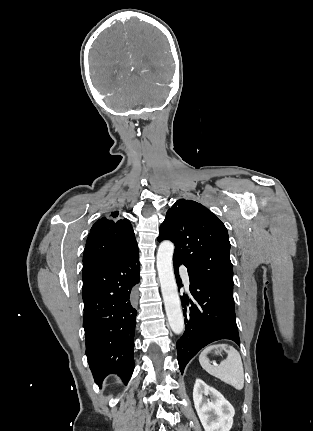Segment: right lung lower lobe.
Returning <instances> with one entry per match:
<instances>
[{
  "label": "right lung lower lobe",
  "mask_w": 313,
  "mask_h": 431,
  "mask_svg": "<svg viewBox=\"0 0 313 431\" xmlns=\"http://www.w3.org/2000/svg\"><path fill=\"white\" fill-rule=\"evenodd\" d=\"M139 251L113 261L83 267V326L86 355L95 382L109 374L128 383L134 370L137 311L133 288L139 283Z\"/></svg>",
  "instance_id": "98d812e1"
}]
</instances>
